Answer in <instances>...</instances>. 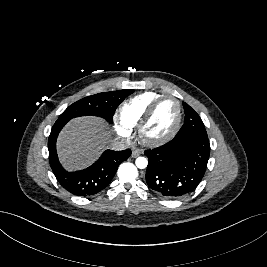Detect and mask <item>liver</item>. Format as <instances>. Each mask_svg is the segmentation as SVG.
<instances>
[{"mask_svg":"<svg viewBox=\"0 0 267 267\" xmlns=\"http://www.w3.org/2000/svg\"><path fill=\"white\" fill-rule=\"evenodd\" d=\"M108 124L99 117L75 118L61 131L57 140L58 156L68 170L82 169L91 164L111 146Z\"/></svg>","mask_w":267,"mask_h":267,"instance_id":"obj_1","label":"liver"}]
</instances>
